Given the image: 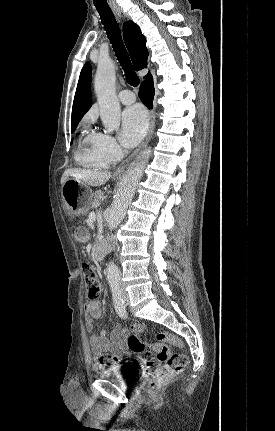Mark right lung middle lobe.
Masks as SVG:
<instances>
[{
  "label": "right lung middle lobe",
  "instance_id": "dd1d6c3e",
  "mask_svg": "<svg viewBox=\"0 0 275 431\" xmlns=\"http://www.w3.org/2000/svg\"><path fill=\"white\" fill-rule=\"evenodd\" d=\"M76 127H77V126L71 127V129H72V133L75 131Z\"/></svg>",
  "mask_w": 275,
  "mask_h": 431
}]
</instances>
